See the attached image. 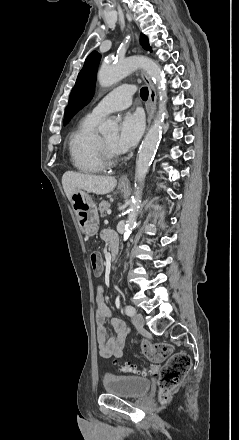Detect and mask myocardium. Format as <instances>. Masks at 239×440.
<instances>
[{
    "label": "myocardium",
    "mask_w": 239,
    "mask_h": 440,
    "mask_svg": "<svg viewBox=\"0 0 239 440\" xmlns=\"http://www.w3.org/2000/svg\"><path fill=\"white\" fill-rule=\"evenodd\" d=\"M98 147L104 164L106 166H113L117 158V154L113 148L106 145L101 137L98 139Z\"/></svg>",
    "instance_id": "f54148a6"
}]
</instances>
